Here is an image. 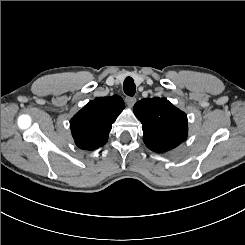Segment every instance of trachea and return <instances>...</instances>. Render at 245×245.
Segmentation results:
<instances>
[{
  "label": "trachea",
  "mask_w": 245,
  "mask_h": 245,
  "mask_svg": "<svg viewBox=\"0 0 245 245\" xmlns=\"http://www.w3.org/2000/svg\"><path fill=\"white\" fill-rule=\"evenodd\" d=\"M123 89H124L125 94H127L128 96L132 97L135 94L136 86H135L134 81L131 77H127L124 80Z\"/></svg>",
  "instance_id": "1"
}]
</instances>
